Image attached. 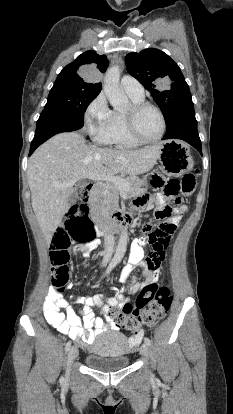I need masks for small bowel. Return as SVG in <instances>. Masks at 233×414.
<instances>
[{
	"label": "small bowel",
	"instance_id": "c3829d8e",
	"mask_svg": "<svg viewBox=\"0 0 233 414\" xmlns=\"http://www.w3.org/2000/svg\"><path fill=\"white\" fill-rule=\"evenodd\" d=\"M165 197L163 195L156 196L157 212L168 211L170 216V208L165 206ZM137 204L143 209L148 207L147 200L140 198ZM187 206L181 205L174 209V214L171 216L166 223L173 224L176 226L181 220L182 216L186 213ZM166 218V217H164ZM100 244L98 239L89 242L86 245H79L74 248L76 253H79L82 258H86L90 251L95 249ZM143 257V250L138 242H134L131 246V254L129 264L123 271L122 281H126L131 269L140 264ZM143 266V281H137L134 284H128L123 290L116 291L115 295L109 298L105 305H101L103 297L101 295L87 296V297H76L72 301L74 303L82 305L81 317H79L69 303L65 300L62 295L59 294H48L43 301V313L47 322L56 328L62 334L68 335L74 341L79 342L84 347L91 346L98 335L109 328L108 322L111 327H114L113 322L110 319L111 309L119 308L122 309L126 299L123 294L124 291L129 290L131 294L140 292L145 286L150 284H156L159 278L160 265L153 271L148 270L146 266ZM79 286H86V278H79ZM67 287L66 285L64 286ZM69 290L75 289L74 283L68 284ZM111 290H116V285H111ZM48 293L61 292V289L48 288ZM99 305L97 309L101 311L102 315L96 317L94 313V307ZM104 313V314H103ZM142 329L132 338L131 343L136 342L142 336Z\"/></svg>",
	"mask_w": 233,
	"mask_h": 414
}]
</instances>
